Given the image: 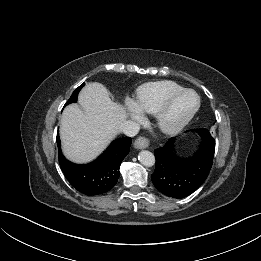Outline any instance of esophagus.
<instances>
[{"label":"esophagus","instance_id":"esophagus-1","mask_svg":"<svg viewBox=\"0 0 261 261\" xmlns=\"http://www.w3.org/2000/svg\"><path fill=\"white\" fill-rule=\"evenodd\" d=\"M134 145L137 149H145L149 146V140L146 137H138L135 140Z\"/></svg>","mask_w":261,"mask_h":261}]
</instances>
